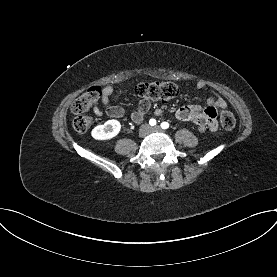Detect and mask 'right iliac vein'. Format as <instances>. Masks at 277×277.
I'll return each mask as SVG.
<instances>
[{
  "label": "right iliac vein",
  "mask_w": 277,
  "mask_h": 277,
  "mask_svg": "<svg viewBox=\"0 0 277 277\" xmlns=\"http://www.w3.org/2000/svg\"><path fill=\"white\" fill-rule=\"evenodd\" d=\"M149 131V127L148 126H143L141 129H140V135L141 136H145Z\"/></svg>",
  "instance_id": "1"
}]
</instances>
